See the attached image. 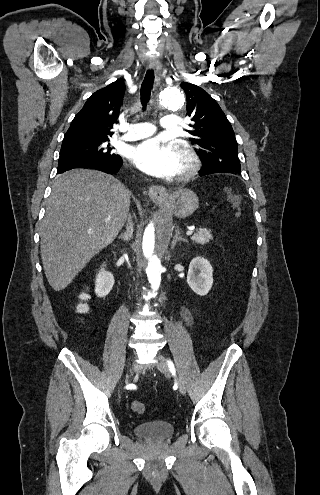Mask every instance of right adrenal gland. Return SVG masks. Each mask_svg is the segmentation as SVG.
<instances>
[{
  "instance_id": "obj_1",
  "label": "right adrenal gland",
  "mask_w": 320,
  "mask_h": 495,
  "mask_svg": "<svg viewBox=\"0 0 320 495\" xmlns=\"http://www.w3.org/2000/svg\"><path fill=\"white\" fill-rule=\"evenodd\" d=\"M133 233H134V225L132 223L131 216L129 215L128 216V223L126 226V232L122 233L119 236V238L126 241V242H129L133 238Z\"/></svg>"
}]
</instances>
